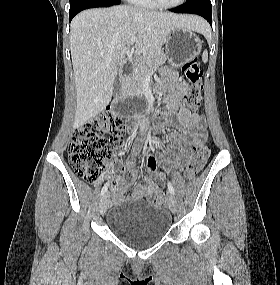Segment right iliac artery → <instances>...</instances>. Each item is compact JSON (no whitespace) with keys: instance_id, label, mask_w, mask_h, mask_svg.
Returning <instances> with one entry per match:
<instances>
[{"instance_id":"obj_1","label":"right iliac artery","mask_w":280,"mask_h":285,"mask_svg":"<svg viewBox=\"0 0 280 285\" xmlns=\"http://www.w3.org/2000/svg\"><path fill=\"white\" fill-rule=\"evenodd\" d=\"M108 186H109V182H107L104 187L102 188L101 190V193H100V196H104V194L107 192V189H108Z\"/></svg>"}]
</instances>
